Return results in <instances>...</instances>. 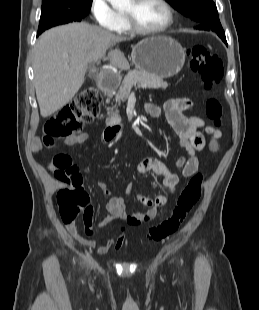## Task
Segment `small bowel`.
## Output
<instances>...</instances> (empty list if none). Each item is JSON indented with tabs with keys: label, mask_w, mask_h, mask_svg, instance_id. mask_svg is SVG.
<instances>
[{
	"label": "small bowel",
	"mask_w": 259,
	"mask_h": 310,
	"mask_svg": "<svg viewBox=\"0 0 259 310\" xmlns=\"http://www.w3.org/2000/svg\"><path fill=\"white\" fill-rule=\"evenodd\" d=\"M146 112L154 117L161 118L162 113L170 126L174 129L179 136V146L184 151L185 155L180 156L176 161V167L181 171L184 177H190L194 175L199 168V158L197 152L203 150L206 146V139L204 134L200 131L204 128L205 132L211 136L209 141V147L211 151L216 152L218 150V141L221 138V132L211 126H206L203 119L193 114L194 104L191 100L186 98H176L166 101L161 108L159 105L148 102L145 105ZM185 113H189L186 115ZM89 139L87 133H80L64 140L66 146L76 147L84 144ZM31 150L34 153H38L42 150V144L38 139H34L31 142ZM136 170L140 174L154 173L163 178V185L165 192L157 194L151 198L142 194L137 195V199L143 205L148 206L149 209L143 212L127 213L125 203L120 196H111L106 204L107 215L100 219L97 223L99 227H104L110 224L117 218L122 219L128 225H140L154 219L159 209L163 208L169 196L175 193L176 187L179 182L177 174L171 172L168 167L160 160L156 158H145L141 160ZM99 188L104 195H110V189L107 183L99 182ZM85 233L91 235L93 225V208L85 213L84 218ZM67 230L75 236H78L77 229L74 225L67 226ZM83 242L88 246H96V242L92 239L82 238ZM125 242V231H120L117 238H109L104 243L96 246V250L99 254H107L111 248L120 249Z\"/></svg>",
	"instance_id": "small-bowel-1"
}]
</instances>
